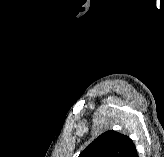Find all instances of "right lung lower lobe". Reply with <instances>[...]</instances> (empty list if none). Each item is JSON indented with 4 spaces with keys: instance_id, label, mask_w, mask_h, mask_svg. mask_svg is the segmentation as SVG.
<instances>
[{
    "instance_id": "98d812e1",
    "label": "right lung lower lobe",
    "mask_w": 164,
    "mask_h": 157,
    "mask_svg": "<svg viewBox=\"0 0 164 157\" xmlns=\"http://www.w3.org/2000/svg\"><path fill=\"white\" fill-rule=\"evenodd\" d=\"M132 157H139L138 154H137V151L134 152Z\"/></svg>"
}]
</instances>
